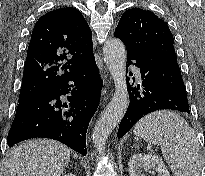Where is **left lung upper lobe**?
Here are the masks:
<instances>
[{
	"instance_id": "obj_1",
	"label": "left lung upper lobe",
	"mask_w": 205,
	"mask_h": 176,
	"mask_svg": "<svg viewBox=\"0 0 205 176\" xmlns=\"http://www.w3.org/2000/svg\"><path fill=\"white\" fill-rule=\"evenodd\" d=\"M114 36L121 39L127 49L153 60L177 61L167 23L150 11L139 8L127 10L120 18Z\"/></svg>"
}]
</instances>
